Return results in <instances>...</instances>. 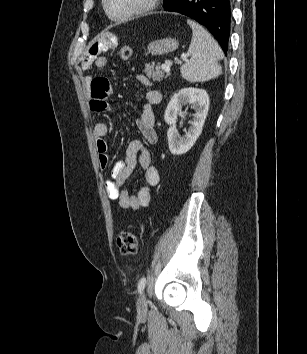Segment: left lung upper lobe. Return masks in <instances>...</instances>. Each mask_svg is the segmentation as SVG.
Instances as JSON below:
<instances>
[{
  "instance_id": "obj_1",
  "label": "left lung upper lobe",
  "mask_w": 307,
  "mask_h": 354,
  "mask_svg": "<svg viewBox=\"0 0 307 354\" xmlns=\"http://www.w3.org/2000/svg\"><path fill=\"white\" fill-rule=\"evenodd\" d=\"M170 1H171V0H164V1H163V7L167 6Z\"/></svg>"
}]
</instances>
